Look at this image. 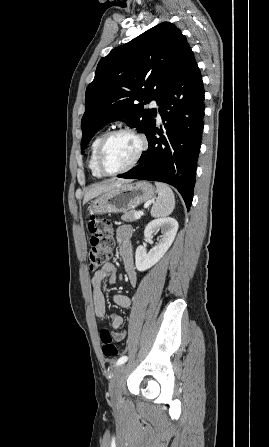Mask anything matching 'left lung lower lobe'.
<instances>
[{
	"label": "left lung lower lobe",
	"mask_w": 269,
	"mask_h": 447,
	"mask_svg": "<svg viewBox=\"0 0 269 447\" xmlns=\"http://www.w3.org/2000/svg\"><path fill=\"white\" fill-rule=\"evenodd\" d=\"M158 105L163 128L158 129L153 118L145 134L148 150L143 152L136 167L118 177L168 183L180 192L189 209L205 107L202 77L191 48Z\"/></svg>",
	"instance_id": "obj_1"
}]
</instances>
